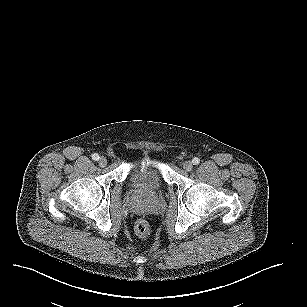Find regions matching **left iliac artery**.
<instances>
[{
  "label": "left iliac artery",
  "mask_w": 307,
  "mask_h": 307,
  "mask_svg": "<svg viewBox=\"0 0 307 307\" xmlns=\"http://www.w3.org/2000/svg\"><path fill=\"white\" fill-rule=\"evenodd\" d=\"M192 163H193L194 165H197V164L200 163V159L197 158V157H195V158L192 159Z\"/></svg>",
  "instance_id": "left-iliac-artery-1"
}]
</instances>
